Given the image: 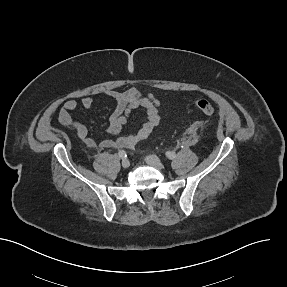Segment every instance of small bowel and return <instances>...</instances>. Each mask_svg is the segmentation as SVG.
<instances>
[{"label":"small bowel","instance_id":"small-bowel-1","mask_svg":"<svg viewBox=\"0 0 287 287\" xmlns=\"http://www.w3.org/2000/svg\"><path fill=\"white\" fill-rule=\"evenodd\" d=\"M106 94L115 100L116 107L110 116V123L107 132L110 135H117L122 126L127 122L130 113L135 109H142L146 114V119L141 128L135 133L116 138L103 139L97 142L88 133L87 127L75 120L71 113L78 107L74 99L67 100L58 113L59 122L63 126L73 128L80 141L87 147L99 146L105 149L125 148L130 149L142 140L148 138L161 121L159 101L151 93H142L136 88H129L124 91L107 90ZM81 105L85 109H90L93 105V98L85 96L81 100Z\"/></svg>","mask_w":287,"mask_h":287}]
</instances>
